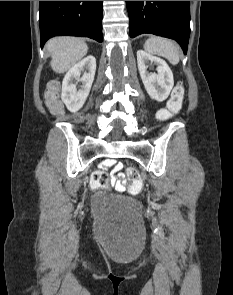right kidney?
Masks as SVG:
<instances>
[{"label":"right kidney","instance_id":"obj_1","mask_svg":"<svg viewBox=\"0 0 233 295\" xmlns=\"http://www.w3.org/2000/svg\"><path fill=\"white\" fill-rule=\"evenodd\" d=\"M81 76V71H84ZM96 71V59L94 56H87L77 64H75L66 73L62 82L61 99L70 112H77L85 103ZM81 81L82 85L77 90L76 82Z\"/></svg>","mask_w":233,"mask_h":295}]
</instances>
